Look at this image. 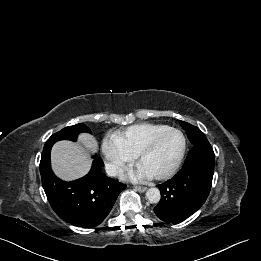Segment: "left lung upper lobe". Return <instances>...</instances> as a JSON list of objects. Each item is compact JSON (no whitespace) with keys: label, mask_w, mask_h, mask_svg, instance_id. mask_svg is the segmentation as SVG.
Listing matches in <instances>:
<instances>
[{"label":"left lung upper lobe","mask_w":261,"mask_h":261,"mask_svg":"<svg viewBox=\"0 0 261 261\" xmlns=\"http://www.w3.org/2000/svg\"><path fill=\"white\" fill-rule=\"evenodd\" d=\"M180 124L182 125L183 129L186 131V134L193 145L197 144L203 139H206L204 133L196 126H193L183 121H180Z\"/></svg>","instance_id":"left-lung-upper-lobe-1"}]
</instances>
